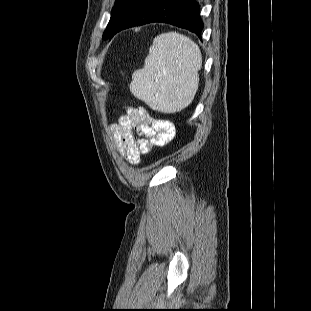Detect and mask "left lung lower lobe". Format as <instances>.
I'll use <instances>...</instances> for the list:
<instances>
[{
    "label": "left lung lower lobe",
    "instance_id": "obj_1",
    "mask_svg": "<svg viewBox=\"0 0 311 311\" xmlns=\"http://www.w3.org/2000/svg\"><path fill=\"white\" fill-rule=\"evenodd\" d=\"M154 22L187 29L201 38L203 23L195 0H127L117 15L109 38L123 29Z\"/></svg>",
    "mask_w": 311,
    "mask_h": 311
}]
</instances>
